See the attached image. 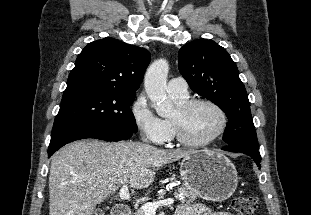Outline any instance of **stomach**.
I'll use <instances>...</instances> for the list:
<instances>
[{"label": "stomach", "mask_w": 311, "mask_h": 215, "mask_svg": "<svg viewBox=\"0 0 311 215\" xmlns=\"http://www.w3.org/2000/svg\"><path fill=\"white\" fill-rule=\"evenodd\" d=\"M180 175L186 188L212 202L230 198L238 184L234 164L225 155L210 150L193 152L183 158Z\"/></svg>", "instance_id": "1"}]
</instances>
